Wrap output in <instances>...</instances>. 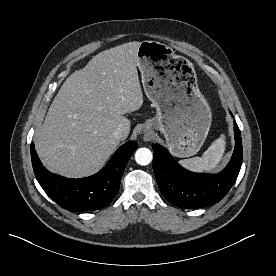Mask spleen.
<instances>
[{
	"instance_id": "3e777b00",
	"label": "spleen",
	"mask_w": 276,
	"mask_h": 276,
	"mask_svg": "<svg viewBox=\"0 0 276 276\" xmlns=\"http://www.w3.org/2000/svg\"><path fill=\"white\" fill-rule=\"evenodd\" d=\"M225 136L221 135L216 139L210 147L203 153L201 157L180 160L179 164L185 169L192 172H210L214 170L222 159L225 151Z\"/></svg>"
}]
</instances>
